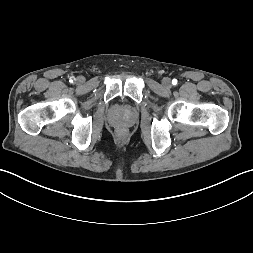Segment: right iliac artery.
<instances>
[{"label":"right iliac artery","instance_id":"82829eb1","mask_svg":"<svg viewBox=\"0 0 253 253\" xmlns=\"http://www.w3.org/2000/svg\"><path fill=\"white\" fill-rule=\"evenodd\" d=\"M74 81H75V77L74 76L70 77V82L73 83Z\"/></svg>","mask_w":253,"mask_h":253}]
</instances>
